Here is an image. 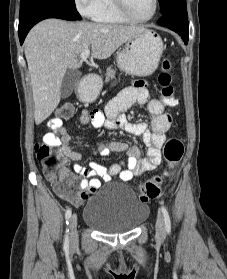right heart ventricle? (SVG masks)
Listing matches in <instances>:
<instances>
[{"label": "right heart ventricle", "mask_w": 227, "mask_h": 279, "mask_svg": "<svg viewBox=\"0 0 227 279\" xmlns=\"http://www.w3.org/2000/svg\"><path fill=\"white\" fill-rule=\"evenodd\" d=\"M95 21L107 23H130L131 20L122 16L116 9L113 0H102L100 7L92 16Z\"/></svg>", "instance_id": "e07e8e85"}]
</instances>
